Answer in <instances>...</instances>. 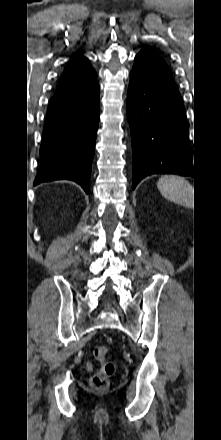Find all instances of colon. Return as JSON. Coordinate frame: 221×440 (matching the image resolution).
Here are the masks:
<instances>
[{"label": "colon", "instance_id": "1", "mask_svg": "<svg viewBox=\"0 0 221 440\" xmlns=\"http://www.w3.org/2000/svg\"><path fill=\"white\" fill-rule=\"evenodd\" d=\"M94 357L101 363L99 370L91 377L90 384L94 389L105 390L109 387V378L115 373V364L109 359L110 349L106 345L96 346Z\"/></svg>", "mask_w": 221, "mask_h": 440}]
</instances>
